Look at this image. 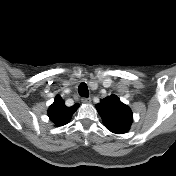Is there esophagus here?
Listing matches in <instances>:
<instances>
[{
  "instance_id": "34e87169",
  "label": "esophagus",
  "mask_w": 176,
  "mask_h": 176,
  "mask_svg": "<svg viewBox=\"0 0 176 176\" xmlns=\"http://www.w3.org/2000/svg\"><path fill=\"white\" fill-rule=\"evenodd\" d=\"M82 102L84 104H89L91 102V98L90 97H88V98L84 97V98H82Z\"/></svg>"
}]
</instances>
